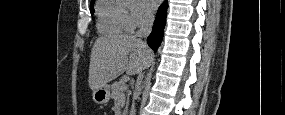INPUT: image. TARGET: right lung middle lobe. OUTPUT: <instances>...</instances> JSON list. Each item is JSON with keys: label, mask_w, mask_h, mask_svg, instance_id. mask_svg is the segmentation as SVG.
Listing matches in <instances>:
<instances>
[{"label": "right lung middle lobe", "mask_w": 285, "mask_h": 115, "mask_svg": "<svg viewBox=\"0 0 285 115\" xmlns=\"http://www.w3.org/2000/svg\"><path fill=\"white\" fill-rule=\"evenodd\" d=\"M93 5H94V1H93V2H91V8H90V10H91V14H93Z\"/></svg>", "instance_id": "dd1d6c3e"}]
</instances>
